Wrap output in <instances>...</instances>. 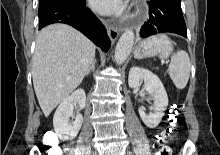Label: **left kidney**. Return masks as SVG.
<instances>
[{"instance_id":"obj_1","label":"left kidney","mask_w":220,"mask_h":155,"mask_svg":"<svg viewBox=\"0 0 220 155\" xmlns=\"http://www.w3.org/2000/svg\"><path fill=\"white\" fill-rule=\"evenodd\" d=\"M141 82H144V88L151 95L154 104L152 113L146 114L145 109L140 107L139 115L147 127L155 128L164 116L168 106V96L162 82L155 74L145 68L132 67L128 77L129 87L139 88Z\"/></svg>"}]
</instances>
